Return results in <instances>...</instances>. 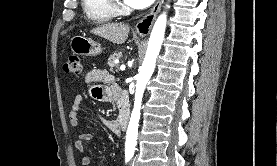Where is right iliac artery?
Instances as JSON below:
<instances>
[{
	"mask_svg": "<svg viewBox=\"0 0 277 166\" xmlns=\"http://www.w3.org/2000/svg\"><path fill=\"white\" fill-rule=\"evenodd\" d=\"M132 156H133L132 154H126V156H125L126 164L131 160Z\"/></svg>",
	"mask_w": 277,
	"mask_h": 166,
	"instance_id": "82829eb1",
	"label": "right iliac artery"
}]
</instances>
